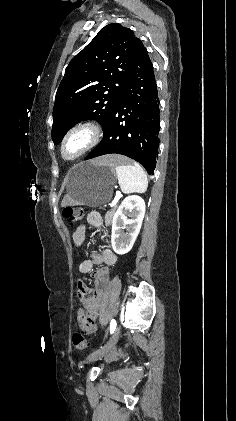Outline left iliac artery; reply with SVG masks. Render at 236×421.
I'll return each instance as SVG.
<instances>
[{
    "label": "left iliac artery",
    "mask_w": 236,
    "mask_h": 421,
    "mask_svg": "<svg viewBox=\"0 0 236 421\" xmlns=\"http://www.w3.org/2000/svg\"><path fill=\"white\" fill-rule=\"evenodd\" d=\"M116 325H117L116 321L114 319H112L111 322H110V333L111 334L115 331Z\"/></svg>",
    "instance_id": "1"
}]
</instances>
